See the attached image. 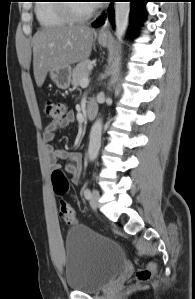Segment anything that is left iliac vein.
I'll return each instance as SVG.
<instances>
[{"label":"left iliac vein","mask_w":195,"mask_h":299,"mask_svg":"<svg viewBox=\"0 0 195 299\" xmlns=\"http://www.w3.org/2000/svg\"><path fill=\"white\" fill-rule=\"evenodd\" d=\"M99 198H100L99 192L96 189H94L92 191L91 198H90V205L92 209L96 210L97 207L99 206Z\"/></svg>","instance_id":"left-iliac-vein-1"}]
</instances>
